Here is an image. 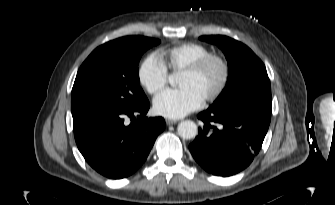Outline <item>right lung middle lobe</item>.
<instances>
[{"label":"right lung middle lobe","instance_id":"1","mask_svg":"<svg viewBox=\"0 0 335 205\" xmlns=\"http://www.w3.org/2000/svg\"><path fill=\"white\" fill-rule=\"evenodd\" d=\"M160 40L127 36L96 48L81 65L71 93V112L118 111L147 99L139 82L142 54Z\"/></svg>","mask_w":335,"mask_h":205}]
</instances>
